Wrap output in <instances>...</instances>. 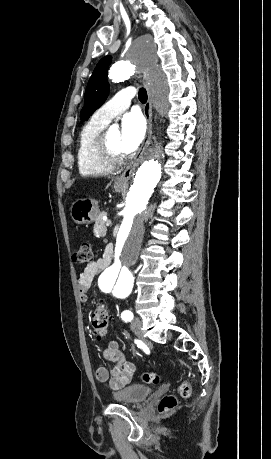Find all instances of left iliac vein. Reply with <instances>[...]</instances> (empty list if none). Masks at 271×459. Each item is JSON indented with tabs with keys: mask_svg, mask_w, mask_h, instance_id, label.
<instances>
[{
	"mask_svg": "<svg viewBox=\"0 0 271 459\" xmlns=\"http://www.w3.org/2000/svg\"><path fill=\"white\" fill-rule=\"evenodd\" d=\"M141 327H142V322H141L140 318L139 317H135L131 321V329L133 330L135 335H137L138 337H142L143 336V331H142Z\"/></svg>",
	"mask_w": 271,
	"mask_h": 459,
	"instance_id": "1",
	"label": "left iliac vein"
}]
</instances>
